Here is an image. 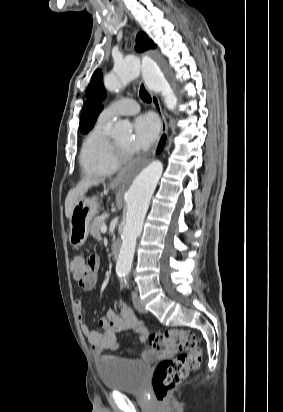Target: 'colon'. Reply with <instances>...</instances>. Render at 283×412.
<instances>
[{
    "mask_svg": "<svg viewBox=\"0 0 283 412\" xmlns=\"http://www.w3.org/2000/svg\"><path fill=\"white\" fill-rule=\"evenodd\" d=\"M98 268L96 256L87 260L74 257L70 262L72 277L81 282ZM147 348L154 352H164L176 348L178 355L162 360L152 376V389L159 402L165 401L169 392L178 386L192 370L201 363V350L197 346V337L189 330L169 329L164 333L152 334L147 340Z\"/></svg>",
    "mask_w": 283,
    "mask_h": 412,
    "instance_id": "1",
    "label": "colon"
}]
</instances>
